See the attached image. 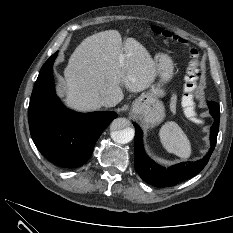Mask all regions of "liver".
<instances>
[{"mask_svg":"<svg viewBox=\"0 0 233 233\" xmlns=\"http://www.w3.org/2000/svg\"><path fill=\"white\" fill-rule=\"evenodd\" d=\"M124 55L123 63L119 56ZM65 103L79 111L101 108V100L110 96L115 105L124 97L121 84L138 93L156 77L155 61L134 38L122 46L116 30L96 33L84 39L71 55L64 71Z\"/></svg>","mask_w":233,"mask_h":233,"instance_id":"1","label":"liver"}]
</instances>
